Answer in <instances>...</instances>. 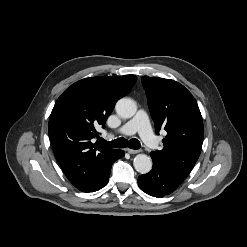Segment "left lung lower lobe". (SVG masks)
Segmentation results:
<instances>
[{
    "mask_svg": "<svg viewBox=\"0 0 247 247\" xmlns=\"http://www.w3.org/2000/svg\"><path fill=\"white\" fill-rule=\"evenodd\" d=\"M185 178L170 167L153 161L152 170L139 176L138 184L145 193L155 197H164L177 189Z\"/></svg>",
    "mask_w": 247,
    "mask_h": 247,
    "instance_id": "0a47b994",
    "label": "left lung lower lobe"
}]
</instances>
